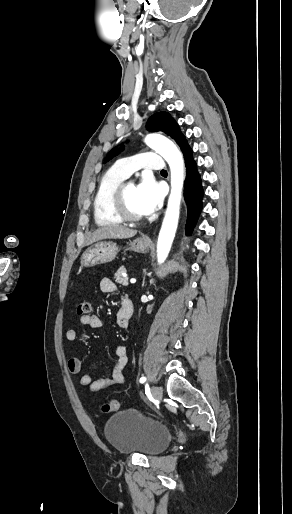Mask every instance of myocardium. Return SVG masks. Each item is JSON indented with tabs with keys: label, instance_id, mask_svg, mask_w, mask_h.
I'll return each mask as SVG.
<instances>
[{
	"label": "myocardium",
	"instance_id": "f54148a6",
	"mask_svg": "<svg viewBox=\"0 0 292 514\" xmlns=\"http://www.w3.org/2000/svg\"><path fill=\"white\" fill-rule=\"evenodd\" d=\"M129 184L130 183L128 182H123L112 190L108 199L109 208L111 212L119 218L120 221L137 223L142 221L146 214L143 213L141 215H134L128 212L126 209L124 204V192Z\"/></svg>",
	"mask_w": 292,
	"mask_h": 514
}]
</instances>
